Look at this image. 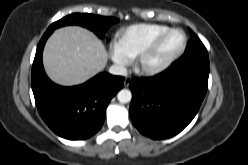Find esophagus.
<instances>
[{
	"label": "esophagus",
	"mask_w": 248,
	"mask_h": 165,
	"mask_svg": "<svg viewBox=\"0 0 248 165\" xmlns=\"http://www.w3.org/2000/svg\"><path fill=\"white\" fill-rule=\"evenodd\" d=\"M131 82V77L130 76H126L125 79H124V86L125 87H128L129 84Z\"/></svg>",
	"instance_id": "34e87169"
}]
</instances>
